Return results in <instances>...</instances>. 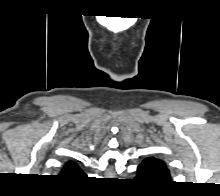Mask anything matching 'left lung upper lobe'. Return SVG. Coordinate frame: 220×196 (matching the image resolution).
Segmentation results:
<instances>
[{"label":"left lung upper lobe","mask_w":220,"mask_h":196,"mask_svg":"<svg viewBox=\"0 0 220 196\" xmlns=\"http://www.w3.org/2000/svg\"><path fill=\"white\" fill-rule=\"evenodd\" d=\"M144 161L149 162L157 170V172L161 175V177L165 181H168V182L170 181L171 179L170 172L167 168L166 163L163 160L150 157V158H146Z\"/></svg>","instance_id":"left-lung-upper-lobe-1"}]
</instances>
